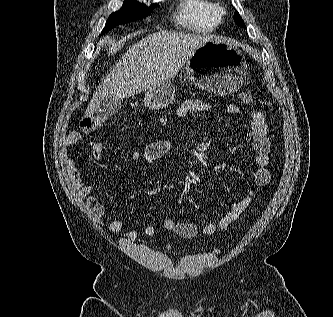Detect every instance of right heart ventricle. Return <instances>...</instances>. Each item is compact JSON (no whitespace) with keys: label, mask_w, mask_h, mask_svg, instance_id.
I'll return each instance as SVG.
<instances>
[{"label":"right heart ventricle","mask_w":333,"mask_h":317,"mask_svg":"<svg viewBox=\"0 0 333 317\" xmlns=\"http://www.w3.org/2000/svg\"><path fill=\"white\" fill-rule=\"evenodd\" d=\"M222 9L214 0H181L175 21L182 28L195 33H209L222 21Z\"/></svg>","instance_id":"obj_1"}]
</instances>
